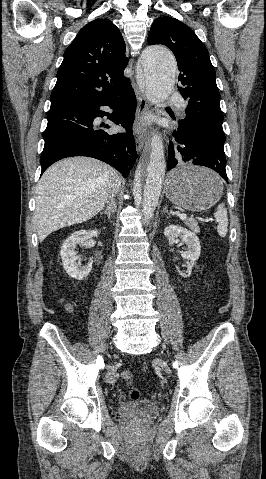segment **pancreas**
I'll return each mask as SVG.
<instances>
[{
	"mask_svg": "<svg viewBox=\"0 0 266 479\" xmlns=\"http://www.w3.org/2000/svg\"><path fill=\"white\" fill-rule=\"evenodd\" d=\"M184 223L186 224L187 227H189L193 232L199 233L200 228L198 226V221L194 218H186L183 219Z\"/></svg>",
	"mask_w": 266,
	"mask_h": 479,
	"instance_id": "pancreas-1",
	"label": "pancreas"
}]
</instances>
